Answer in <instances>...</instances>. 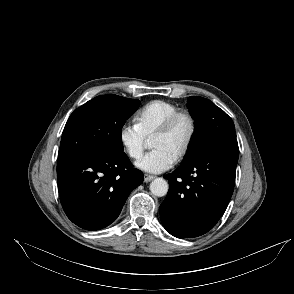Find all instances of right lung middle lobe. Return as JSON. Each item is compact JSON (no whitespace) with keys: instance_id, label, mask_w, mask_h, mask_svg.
Instances as JSON below:
<instances>
[{"instance_id":"dd1d6c3e","label":"right lung middle lobe","mask_w":294,"mask_h":294,"mask_svg":"<svg viewBox=\"0 0 294 294\" xmlns=\"http://www.w3.org/2000/svg\"><path fill=\"white\" fill-rule=\"evenodd\" d=\"M139 100L101 95L76 109L63 130L58 162L81 154L123 151L121 130Z\"/></svg>"}]
</instances>
